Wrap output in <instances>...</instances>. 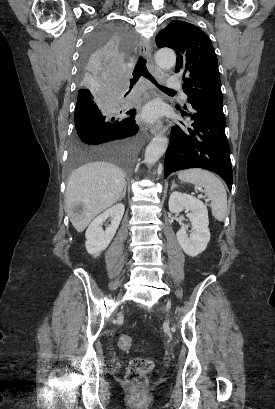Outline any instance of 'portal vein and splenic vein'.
Segmentation results:
<instances>
[{
    "label": "portal vein and splenic vein",
    "mask_w": 275,
    "mask_h": 409,
    "mask_svg": "<svg viewBox=\"0 0 275 409\" xmlns=\"http://www.w3.org/2000/svg\"><path fill=\"white\" fill-rule=\"evenodd\" d=\"M198 188H200V186H198ZM199 196H201V194H199Z\"/></svg>",
    "instance_id": "portal-vein-and-splenic-vein-1"
}]
</instances>
